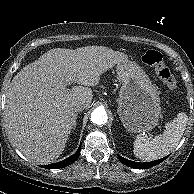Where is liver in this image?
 Returning <instances> with one entry per match:
<instances>
[{
  "mask_svg": "<svg viewBox=\"0 0 194 194\" xmlns=\"http://www.w3.org/2000/svg\"><path fill=\"white\" fill-rule=\"evenodd\" d=\"M128 57L104 46L51 49L25 66L6 93L4 121L13 145L29 160L49 164L65 148L76 125L73 106L92 102L90 87ZM72 82L79 86L71 89Z\"/></svg>",
  "mask_w": 194,
  "mask_h": 194,
  "instance_id": "liver-1",
  "label": "liver"
}]
</instances>
